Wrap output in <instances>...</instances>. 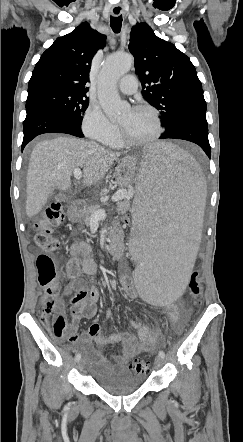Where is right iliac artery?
<instances>
[{
	"mask_svg": "<svg viewBox=\"0 0 243 442\" xmlns=\"http://www.w3.org/2000/svg\"><path fill=\"white\" fill-rule=\"evenodd\" d=\"M80 359H81V355H80V353H77L76 356H75L76 362H79Z\"/></svg>",
	"mask_w": 243,
	"mask_h": 442,
	"instance_id": "82829eb1",
	"label": "right iliac artery"
}]
</instances>
